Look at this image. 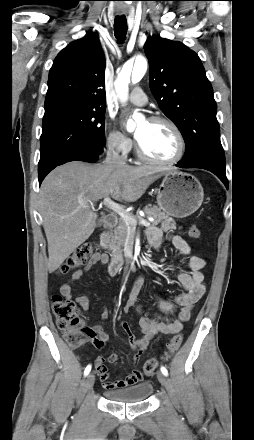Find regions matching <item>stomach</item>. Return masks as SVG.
I'll use <instances>...</instances> for the list:
<instances>
[{"label":"stomach","mask_w":254,"mask_h":440,"mask_svg":"<svg viewBox=\"0 0 254 440\" xmlns=\"http://www.w3.org/2000/svg\"><path fill=\"white\" fill-rule=\"evenodd\" d=\"M204 198L203 187L196 177L181 171L164 174L157 190L159 208L168 216L185 218L195 213Z\"/></svg>","instance_id":"0dacf381"}]
</instances>
